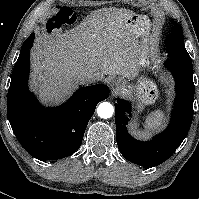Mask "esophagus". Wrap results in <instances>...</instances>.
I'll list each match as a JSON object with an SVG mask.
<instances>
[{
	"mask_svg": "<svg viewBox=\"0 0 199 199\" xmlns=\"http://www.w3.org/2000/svg\"><path fill=\"white\" fill-rule=\"evenodd\" d=\"M110 86H111V93L112 95H114L121 91L122 82L118 79H114L110 81Z\"/></svg>",
	"mask_w": 199,
	"mask_h": 199,
	"instance_id": "1",
	"label": "esophagus"
}]
</instances>
